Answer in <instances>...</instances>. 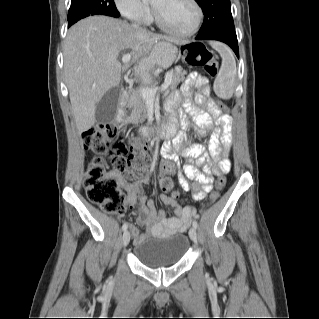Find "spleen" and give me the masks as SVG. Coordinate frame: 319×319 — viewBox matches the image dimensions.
<instances>
[{
	"mask_svg": "<svg viewBox=\"0 0 319 319\" xmlns=\"http://www.w3.org/2000/svg\"><path fill=\"white\" fill-rule=\"evenodd\" d=\"M212 47L220 54L222 64L213 84L215 94L221 99H230L236 82V62L232 51L224 44L212 42Z\"/></svg>",
	"mask_w": 319,
	"mask_h": 319,
	"instance_id": "obj_1",
	"label": "spleen"
}]
</instances>
